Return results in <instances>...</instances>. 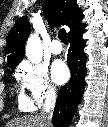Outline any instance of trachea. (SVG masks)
Masks as SVG:
<instances>
[{"label": "trachea", "mask_w": 108, "mask_h": 127, "mask_svg": "<svg viewBox=\"0 0 108 127\" xmlns=\"http://www.w3.org/2000/svg\"><path fill=\"white\" fill-rule=\"evenodd\" d=\"M58 36H59V39L62 41V43H64V44L68 43L67 34L64 29L59 30Z\"/></svg>", "instance_id": "trachea-1"}]
</instances>
